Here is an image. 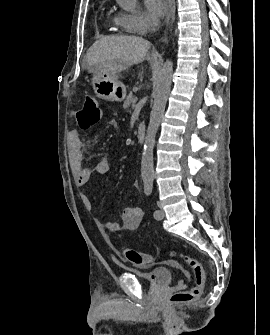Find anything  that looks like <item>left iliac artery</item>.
Wrapping results in <instances>:
<instances>
[{"label":"left iliac artery","instance_id":"44dca946","mask_svg":"<svg viewBox=\"0 0 270 335\" xmlns=\"http://www.w3.org/2000/svg\"><path fill=\"white\" fill-rule=\"evenodd\" d=\"M153 190V181L151 179L145 180L144 182V192L147 196L151 195ZM154 217L156 218L159 215V210L154 211Z\"/></svg>","mask_w":270,"mask_h":335}]
</instances>
